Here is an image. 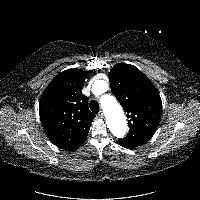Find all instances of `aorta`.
<instances>
[{"instance_id":"aorta-1","label":"aorta","mask_w":200,"mask_h":200,"mask_svg":"<svg viewBox=\"0 0 200 200\" xmlns=\"http://www.w3.org/2000/svg\"><path fill=\"white\" fill-rule=\"evenodd\" d=\"M106 83L104 81H96L92 90L96 95L102 94ZM101 106L106 115V122L112 134L122 138L127 131V122L123 110L116 99L111 95H103L100 98Z\"/></svg>"}]
</instances>
